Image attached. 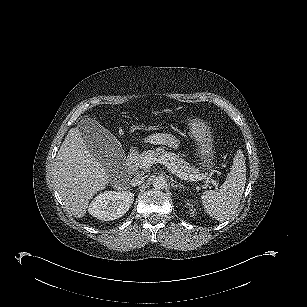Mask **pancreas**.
<instances>
[{"mask_svg":"<svg viewBox=\"0 0 307 307\" xmlns=\"http://www.w3.org/2000/svg\"><path fill=\"white\" fill-rule=\"evenodd\" d=\"M146 156L160 157V158L162 157L166 162H169L172 165V167H175L178 170L188 175H199L201 172L200 169L191 166L183 158H180L179 155L172 152H168L161 147L155 150H148L141 153L137 158V164L140 168H143L142 161Z\"/></svg>","mask_w":307,"mask_h":307,"instance_id":"cf45deb5","label":"pancreas"}]
</instances>
